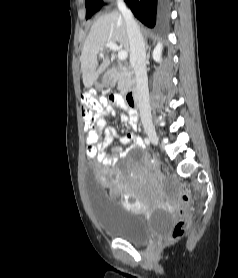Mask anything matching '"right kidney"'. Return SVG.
Masks as SVG:
<instances>
[{
	"label": "right kidney",
	"instance_id": "right-kidney-1",
	"mask_svg": "<svg viewBox=\"0 0 238 278\" xmlns=\"http://www.w3.org/2000/svg\"><path fill=\"white\" fill-rule=\"evenodd\" d=\"M161 51H162V44L158 43L157 46L154 49V52H153V59L156 62H160L161 61Z\"/></svg>",
	"mask_w": 238,
	"mask_h": 278
}]
</instances>
